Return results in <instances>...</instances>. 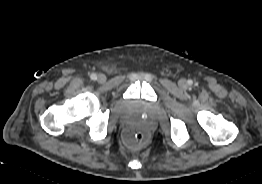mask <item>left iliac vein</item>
<instances>
[{
    "instance_id": "obj_1",
    "label": "left iliac vein",
    "mask_w": 262,
    "mask_h": 184,
    "mask_svg": "<svg viewBox=\"0 0 262 184\" xmlns=\"http://www.w3.org/2000/svg\"><path fill=\"white\" fill-rule=\"evenodd\" d=\"M181 87H184L186 85V81L184 79L180 80L179 82Z\"/></svg>"
}]
</instances>
